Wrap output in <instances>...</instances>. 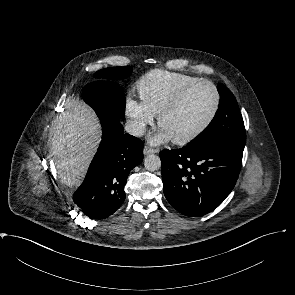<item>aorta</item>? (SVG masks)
Listing matches in <instances>:
<instances>
[{
	"mask_svg": "<svg viewBox=\"0 0 295 295\" xmlns=\"http://www.w3.org/2000/svg\"><path fill=\"white\" fill-rule=\"evenodd\" d=\"M144 166L148 171H156L161 167V160L157 155H147L144 159Z\"/></svg>",
	"mask_w": 295,
	"mask_h": 295,
	"instance_id": "762f6f07",
	"label": "aorta"
}]
</instances>
